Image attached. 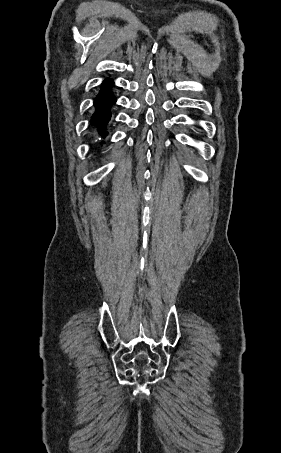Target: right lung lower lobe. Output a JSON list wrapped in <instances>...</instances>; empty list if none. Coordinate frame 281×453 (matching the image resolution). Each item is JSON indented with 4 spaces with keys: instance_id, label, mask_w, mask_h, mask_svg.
<instances>
[{
    "instance_id": "98d812e1",
    "label": "right lung lower lobe",
    "mask_w": 281,
    "mask_h": 453,
    "mask_svg": "<svg viewBox=\"0 0 281 453\" xmlns=\"http://www.w3.org/2000/svg\"><path fill=\"white\" fill-rule=\"evenodd\" d=\"M113 81L106 79L102 84V89L95 99V113L92 116L91 124L95 125L101 137H105L106 124L110 120V108L116 102V98L110 91Z\"/></svg>"
}]
</instances>
